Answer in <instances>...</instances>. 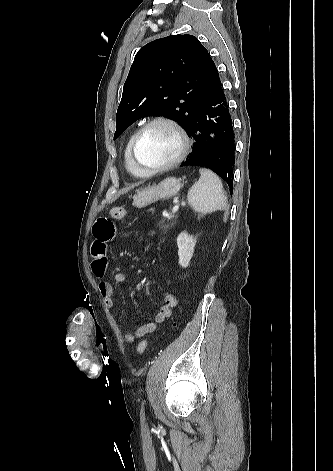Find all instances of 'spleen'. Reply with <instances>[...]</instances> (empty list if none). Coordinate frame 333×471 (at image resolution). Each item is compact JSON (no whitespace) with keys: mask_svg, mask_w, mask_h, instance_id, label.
Listing matches in <instances>:
<instances>
[{"mask_svg":"<svg viewBox=\"0 0 333 471\" xmlns=\"http://www.w3.org/2000/svg\"><path fill=\"white\" fill-rule=\"evenodd\" d=\"M199 172V180L188 191V204L201 214L225 210L227 197L220 178L209 169L201 168Z\"/></svg>","mask_w":333,"mask_h":471,"instance_id":"spleen-1","label":"spleen"}]
</instances>
